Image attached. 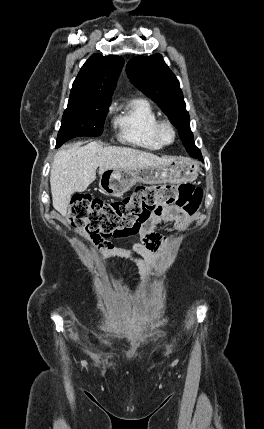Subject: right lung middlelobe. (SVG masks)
<instances>
[{
  "label": "right lung middle lobe",
  "mask_w": 264,
  "mask_h": 429,
  "mask_svg": "<svg viewBox=\"0 0 264 429\" xmlns=\"http://www.w3.org/2000/svg\"><path fill=\"white\" fill-rule=\"evenodd\" d=\"M110 103L102 99L69 98L56 147L77 136H100Z\"/></svg>",
  "instance_id": "right-lung-middle-lobe-1"
}]
</instances>
